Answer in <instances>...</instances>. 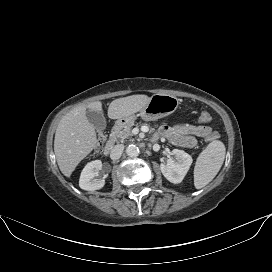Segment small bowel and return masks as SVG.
Wrapping results in <instances>:
<instances>
[{"label": "small bowel", "mask_w": 272, "mask_h": 272, "mask_svg": "<svg viewBox=\"0 0 272 272\" xmlns=\"http://www.w3.org/2000/svg\"><path fill=\"white\" fill-rule=\"evenodd\" d=\"M211 133V128L206 125H192L178 122L172 126H163L159 135L167 138L172 144L192 148L197 143V138H206Z\"/></svg>", "instance_id": "1"}]
</instances>
